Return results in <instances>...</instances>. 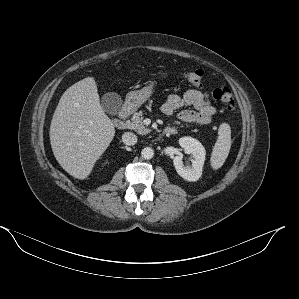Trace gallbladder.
<instances>
[{"instance_id":"obj_1","label":"gallbladder","mask_w":299,"mask_h":299,"mask_svg":"<svg viewBox=\"0 0 299 299\" xmlns=\"http://www.w3.org/2000/svg\"><path fill=\"white\" fill-rule=\"evenodd\" d=\"M101 105L109 115H117L122 111L123 100L119 94L107 92L102 96Z\"/></svg>"}]
</instances>
